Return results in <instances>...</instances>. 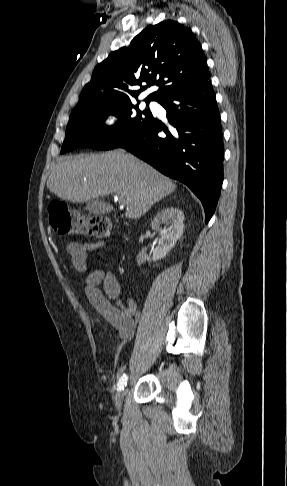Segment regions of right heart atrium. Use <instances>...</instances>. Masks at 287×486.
<instances>
[{
  "label": "right heart atrium",
  "instance_id": "obj_1",
  "mask_svg": "<svg viewBox=\"0 0 287 486\" xmlns=\"http://www.w3.org/2000/svg\"><path fill=\"white\" fill-rule=\"evenodd\" d=\"M101 123L104 127L112 129L118 123V116L113 112H107L103 115Z\"/></svg>",
  "mask_w": 287,
  "mask_h": 486
}]
</instances>
